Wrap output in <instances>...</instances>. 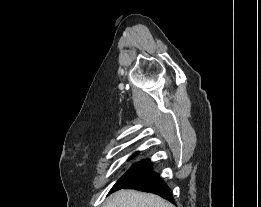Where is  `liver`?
Returning <instances> with one entry per match:
<instances>
[{
  "label": "liver",
  "mask_w": 261,
  "mask_h": 207,
  "mask_svg": "<svg viewBox=\"0 0 261 207\" xmlns=\"http://www.w3.org/2000/svg\"><path fill=\"white\" fill-rule=\"evenodd\" d=\"M103 207H174L155 194L121 190L111 195Z\"/></svg>",
  "instance_id": "obj_1"
}]
</instances>
